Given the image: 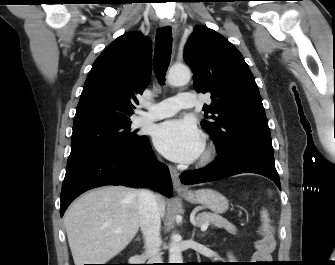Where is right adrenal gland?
Instances as JSON below:
<instances>
[{"label":"right adrenal gland","instance_id":"1","mask_svg":"<svg viewBox=\"0 0 335 265\" xmlns=\"http://www.w3.org/2000/svg\"><path fill=\"white\" fill-rule=\"evenodd\" d=\"M136 240L140 241V238H137Z\"/></svg>","mask_w":335,"mask_h":265}]
</instances>
